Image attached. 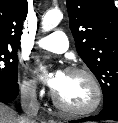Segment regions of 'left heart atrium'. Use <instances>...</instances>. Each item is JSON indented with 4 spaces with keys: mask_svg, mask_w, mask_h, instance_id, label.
I'll use <instances>...</instances> for the list:
<instances>
[{
    "mask_svg": "<svg viewBox=\"0 0 118 123\" xmlns=\"http://www.w3.org/2000/svg\"><path fill=\"white\" fill-rule=\"evenodd\" d=\"M45 67L40 65L38 67V71L42 73ZM65 78V72L63 70H56L50 77H43L45 83L54 91H56L61 84L63 83Z\"/></svg>",
    "mask_w": 118,
    "mask_h": 123,
    "instance_id": "1",
    "label": "left heart atrium"
}]
</instances>
